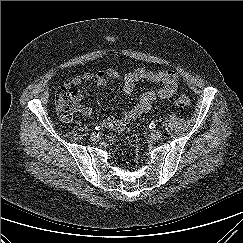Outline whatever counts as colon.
<instances>
[{"label": "colon", "instance_id": "1", "mask_svg": "<svg viewBox=\"0 0 243 243\" xmlns=\"http://www.w3.org/2000/svg\"><path fill=\"white\" fill-rule=\"evenodd\" d=\"M174 104L182 109L190 106V98L185 94H177L173 100ZM55 105L59 117L69 121L77 110V101L74 94L65 87H60L55 92Z\"/></svg>", "mask_w": 243, "mask_h": 243}]
</instances>
